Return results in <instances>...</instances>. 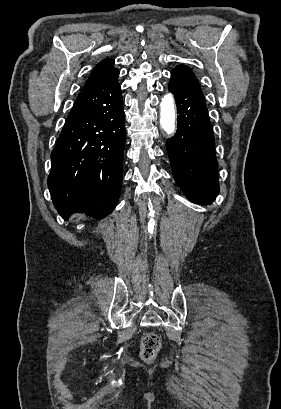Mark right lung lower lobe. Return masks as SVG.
Wrapping results in <instances>:
<instances>
[{
  "mask_svg": "<svg viewBox=\"0 0 281 409\" xmlns=\"http://www.w3.org/2000/svg\"><path fill=\"white\" fill-rule=\"evenodd\" d=\"M118 75L78 95L51 153L48 187L65 220L74 212L103 218L117 205L125 145Z\"/></svg>",
  "mask_w": 281,
  "mask_h": 409,
  "instance_id": "obj_1",
  "label": "right lung lower lobe"
}]
</instances>
